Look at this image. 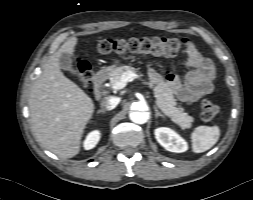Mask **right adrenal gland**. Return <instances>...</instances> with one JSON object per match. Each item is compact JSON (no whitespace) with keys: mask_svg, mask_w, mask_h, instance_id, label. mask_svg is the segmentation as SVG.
<instances>
[{"mask_svg":"<svg viewBox=\"0 0 253 200\" xmlns=\"http://www.w3.org/2000/svg\"><path fill=\"white\" fill-rule=\"evenodd\" d=\"M98 114L99 113H106V111L105 110H103V109H100V110H98V112H97Z\"/></svg>","mask_w":253,"mask_h":200,"instance_id":"right-adrenal-gland-1","label":"right adrenal gland"}]
</instances>
